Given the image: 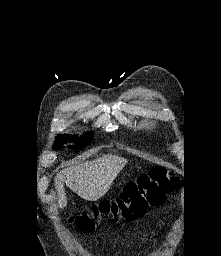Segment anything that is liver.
<instances>
[{"instance_id": "liver-1", "label": "liver", "mask_w": 221, "mask_h": 256, "mask_svg": "<svg viewBox=\"0 0 221 256\" xmlns=\"http://www.w3.org/2000/svg\"><path fill=\"white\" fill-rule=\"evenodd\" d=\"M127 159L107 154L100 158L70 166L55 177L58 206L67 205L64 183L87 201H97L110 189L113 181L124 168Z\"/></svg>"}]
</instances>
